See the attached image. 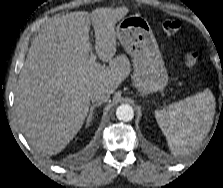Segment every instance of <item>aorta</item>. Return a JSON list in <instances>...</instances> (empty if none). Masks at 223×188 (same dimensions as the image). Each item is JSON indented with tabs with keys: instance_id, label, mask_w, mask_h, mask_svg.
Masks as SVG:
<instances>
[{
	"instance_id": "aorta-1",
	"label": "aorta",
	"mask_w": 223,
	"mask_h": 188,
	"mask_svg": "<svg viewBox=\"0 0 223 188\" xmlns=\"http://www.w3.org/2000/svg\"><path fill=\"white\" fill-rule=\"evenodd\" d=\"M116 116L121 121H131L134 117L133 108L128 104H122L117 108Z\"/></svg>"
}]
</instances>
